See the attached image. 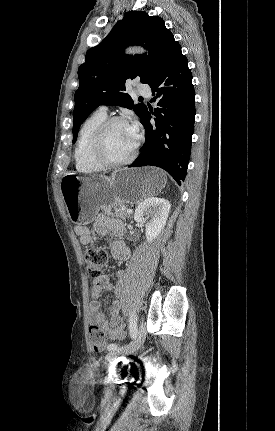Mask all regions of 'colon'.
I'll return each instance as SVG.
<instances>
[{
	"label": "colon",
	"instance_id": "obj_1",
	"mask_svg": "<svg viewBox=\"0 0 275 431\" xmlns=\"http://www.w3.org/2000/svg\"><path fill=\"white\" fill-rule=\"evenodd\" d=\"M85 261L89 274L97 278L101 276L106 266L108 255L104 249L91 248L85 253ZM89 339L92 348L96 352L104 350L107 345V336L104 330L98 325H91L89 327Z\"/></svg>",
	"mask_w": 275,
	"mask_h": 431
}]
</instances>
